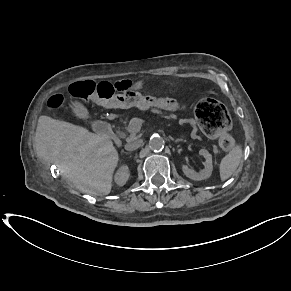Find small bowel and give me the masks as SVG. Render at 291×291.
Listing matches in <instances>:
<instances>
[{
    "label": "small bowel",
    "instance_id": "obj_1",
    "mask_svg": "<svg viewBox=\"0 0 291 291\" xmlns=\"http://www.w3.org/2000/svg\"><path fill=\"white\" fill-rule=\"evenodd\" d=\"M131 84V83H130ZM138 87V84H131V90H135Z\"/></svg>",
    "mask_w": 291,
    "mask_h": 291
}]
</instances>
